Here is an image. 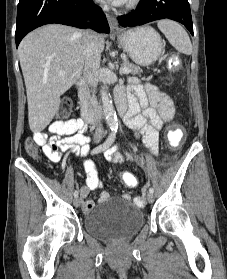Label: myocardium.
I'll list each match as a JSON object with an SVG mask.
<instances>
[{"instance_id":"myocardium-1","label":"myocardium","mask_w":227,"mask_h":279,"mask_svg":"<svg viewBox=\"0 0 227 279\" xmlns=\"http://www.w3.org/2000/svg\"><path fill=\"white\" fill-rule=\"evenodd\" d=\"M141 0H125L123 2V7L126 10H133L135 8L138 7V5L140 4Z\"/></svg>"}]
</instances>
